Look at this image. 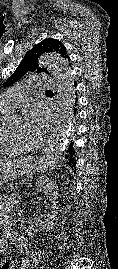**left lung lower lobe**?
<instances>
[{
  "label": "left lung lower lobe",
  "mask_w": 118,
  "mask_h": 269,
  "mask_svg": "<svg viewBox=\"0 0 118 269\" xmlns=\"http://www.w3.org/2000/svg\"><path fill=\"white\" fill-rule=\"evenodd\" d=\"M76 111L77 109L74 108V113H76ZM66 159H67V164L72 168V170H74L76 161H75V155H74V150H73V142H71L69 145L68 155L66 156Z\"/></svg>",
  "instance_id": "1"
}]
</instances>
